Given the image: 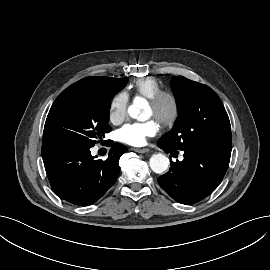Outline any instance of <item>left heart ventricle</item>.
I'll return each instance as SVG.
<instances>
[{
	"label": "left heart ventricle",
	"mask_w": 270,
	"mask_h": 270,
	"mask_svg": "<svg viewBox=\"0 0 270 270\" xmlns=\"http://www.w3.org/2000/svg\"><path fill=\"white\" fill-rule=\"evenodd\" d=\"M165 109L167 110L168 109V106L166 105ZM154 114V111H153V108L152 106L149 104L148 106V115L149 116H152Z\"/></svg>",
	"instance_id": "b2bd125f"
}]
</instances>
